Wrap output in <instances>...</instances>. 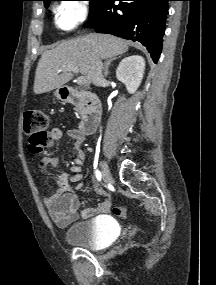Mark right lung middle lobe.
Returning <instances> with one entry per match:
<instances>
[{
    "mask_svg": "<svg viewBox=\"0 0 216 285\" xmlns=\"http://www.w3.org/2000/svg\"><path fill=\"white\" fill-rule=\"evenodd\" d=\"M50 1H59V0H49L48 2L44 3L45 7H48ZM88 1H90V7H91L90 15H91L94 12V9L96 8V6L100 0H88Z\"/></svg>",
    "mask_w": 216,
    "mask_h": 285,
    "instance_id": "1",
    "label": "right lung middle lobe"
}]
</instances>
